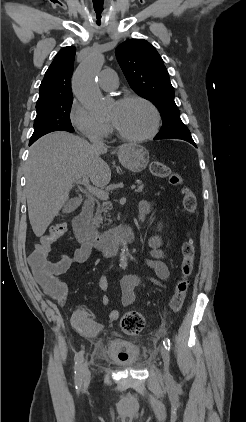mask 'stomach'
I'll use <instances>...</instances> for the list:
<instances>
[{"mask_svg":"<svg viewBox=\"0 0 246 422\" xmlns=\"http://www.w3.org/2000/svg\"><path fill=\"white\" fill-rule=\"evenodd\" d=\"M118 157L121 164L132 172L143 171L149 163V153L141 145L127 143L118 150Z\"/></svg>","mask_w":246,"mask_h":422,"instance_id":"obj_1","label":"stomach"}]
</instances>
